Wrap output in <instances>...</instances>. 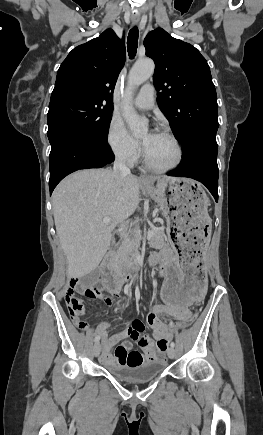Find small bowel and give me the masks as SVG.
<instances>
[{
    "label": "small bowel",
    "instance_id": "1",
    "mask_svg": "<svg viewBox=\"0 0 263 435\" xmlns=\"http://www.w3.org/2000/svg\"><path fill=\"white\" fill-rule=\"evenodd\" d=\"M173 257L174 251L165 247L160 252L150 256L149 265L157 269L159 276L161 261H166L169 258L173 260ZM104 303L111 305L112 300L108 297L104 298ZM159 314H168L178 321L185 322L191 318L188 305H157L153 307L146 315V323L153 331V339L143 334L144 324L137 318H134L126 328L113 335H109L107 332L109 323L101 322L96 327V333L101 339L103 348L101 362L105 365H139L155 359L163 360L167 350L171 348L169 341L173 338V332L159 318ZM128 338L135 340L142 348L143 353L133 350ZM119 342L121 344L112 353V348Z\"/></svg>",
    "mask_w": 263,
    "mask_h": 435
}]
</instances>
